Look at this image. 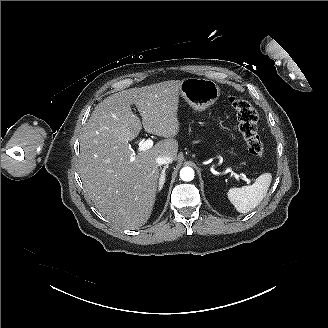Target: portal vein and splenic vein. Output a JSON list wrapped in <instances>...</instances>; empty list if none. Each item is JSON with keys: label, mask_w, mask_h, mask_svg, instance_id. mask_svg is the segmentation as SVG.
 <instances>
[{"label": "portal vein and splenic vein", "mask_w": 328, "mask_h": 328, "mask_svg": "<svg viewBox=\"0 0 328 328\" xmlns=\"http://www.w3.org/2000/svg\"><path fill=\"white\" fill-rule=\"evenodd\" d=\"M152 145H153V141H152L150 138L146 139L145 142H141V143L139 144V146L136 148V152H134V153L131 155L130 160H131L132 162H134V164H135L136 166L139 167V164H138V162H137V160H136V153H139V152L145 151V150L151 148ZM236 175H237V176H236ZM238 176H240L241 178H244V180H247V184L250 183V182H252V183H256V180H254V179H248V177H244V175L241 174L240 172H235V179H236L237 181H240V179H239Z\"/></svg>", "instance_id": "portal-vein-and-splenic-vein-1"}]
</instances>
